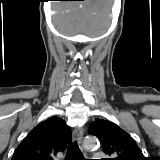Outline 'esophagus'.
<instances>
[{"label": "esophagus", "instance_id": "obj_1", "mask_svg": "<svg viewBox=\"0 0 160 160\" xmlns=\"http://www.w3.org/2000/svg\"><path fill=\"white\" fill-rule=\"evenodd\" d=\"M73 138L74 140H76L79 144H81L82 139H83V130L82 128H75L74 132H73Z\"/></svg>", "mask_w": 160, "mask_h": 160}]
</instances>
